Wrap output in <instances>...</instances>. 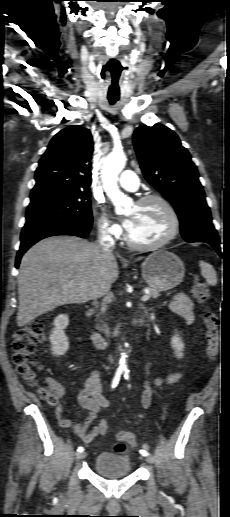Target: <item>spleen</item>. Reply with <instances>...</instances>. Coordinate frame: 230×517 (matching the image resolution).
Listing matches in <instances>:
<instances>
[{
	"label": "spleen",
	"mask_w": 230,
	"mask_h": 517,
	"mask_svg": "<svg viewBox=\"0 0 230 517\" xmlns=\"http://www.w3.org/2000/svg\"><path fill=\"white\" fill-rule=\"evenodd\" d=\"M199 265L201 268V274L205 278L206 282L211 286H215L217 284V275L213 266L205 261H200Z\"/></svg>",
	"instance_id": "1"
}]
</instances>
